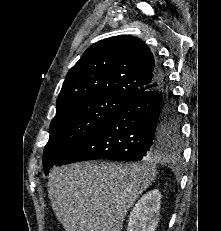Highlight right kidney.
Returning <instances> with one entry per match:
<instances>
[{
    "label": "right kidney",
    "instance_id": "ca27d5eb",
    "mask_svg": "<svg viewBox=\"0 0 221 231\" xmlns=\"http://www.w3.org/2000/svg\"><path fill=\"white\" fill-rule=\"evenodd\" d=\"M161 193L147 192L130 212L127 231H155L159 222Z\"/></svg>",
    "mask_w": 221,
    "mask_h": 231
}]
</instances>
